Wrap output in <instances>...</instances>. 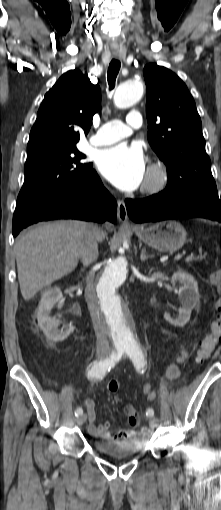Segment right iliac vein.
<instances>
[{
    "label": "right iliac vein",
    "instance_id": "1",
    "mask_svg": "<svg viewBox=\"0 0 221 510\" xmlns=\"http://www.w3.org/2000/svg\"><path fill=\"white\" fill-rule=\"evenodd\" d=\"M102 357V356H101ZM87 420V415L84 413V414H81L77 417V424L78 425H83Z\"/></svg>",
    "mask_w": 221,
    "mask_h": 510
}]
</instances>
